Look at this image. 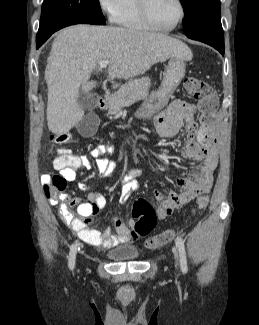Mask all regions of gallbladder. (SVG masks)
<instances>
[{
	"mask_svg": "<svg viewBox=\"0 0 259 325\" xmlns=\"http://www.w3.org/2000/svg\"><path fill=\"white\" fill-rule=\"evenodd\" d=\"M98 96L92 92H81L78 96V104L83 110L89 111L87 115L82 116V121L77 125L81 136L91 138L99 126V117L93 113L97 106Z\"/></svg>",
	"mask_w": 259,
	"mask_h": 325,
	"instance_id": "gallbladder-1",
	"label": "gallbladder"
}]
</instances>
